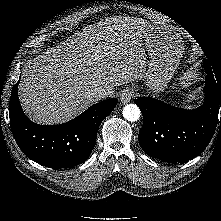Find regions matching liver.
Masks as SVG:
<instances>
[{"instance_id": "6515ba94", "label": "liver", "mask_w": 221, "mask_h": 221, "mask_svg": "<svg viewBox=\"0 0 221 221\" xmlns=\"http://www.w3.org/2000/svg\"><path fill=\"white\" fill-rule=\"evenodd\" d=\"M145 28L146 22L133 17L107 19L25 65L18 94L29 118L40 124L66 122L97 102L94 90L105 89L112 96L116 86L141 78Z\"/></svg>"}]
</instances>
